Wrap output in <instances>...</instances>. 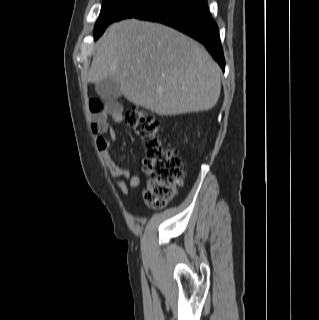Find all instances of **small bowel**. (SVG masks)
<instances>
[{"instance_id": "obj_1", "label": "small bowel", "mask_w": 319, "mask_h": 320, "mask_svg": "<svg viewBox=\"0 0 319 320\" xmlns=\"http://www.w3.org/2000/svg\"><path fill=\"white\" fill-rule=\"evenodd\" d=\"M89 108L93 114L91 128L94 133L96 148L100 152L108 171L119 179L117 182L118 189L125 193L127 189L125 182L132 188L138 187L141 181L140 176L119 166L110 155V149L116 139V132L109 125L108 119L111 118L115 123H120L123 119L121 106L115 102H106L103 105L99 100L91 99Z\"/></svg>"}]
</instances>
